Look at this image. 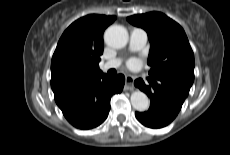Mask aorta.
I'll return each instance as SVG.
<instances>
[{
    "mask_svg": "<svg viewBox=\"0 0 230 155\" xmlns=\"http://www.w3.org/2000/svg\"><path fill=\"white\" fill-rule=\"evenodd\" d=\"M128 38V31L120 25H112L104 33L105 43L115 49L125 47ZM131 104L137 111H146L149 108L150 101L145 93L137 90L131 94Z\"/></svg>",
    "mask_w": 230,
    "mask_h": 155,
    "instance_id": "762f6f07",
    "label": "aorta"
}]
</instances>
